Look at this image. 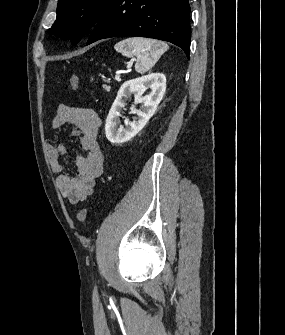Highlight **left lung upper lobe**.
Segmentation results:
<instances>
[{
	"label": "left lung upper lobe",
	"mask_w": 285,
	"mask_h": 335,
	"mask_svg": "<svg viewBox=\"0 0 285 335\" xmlns=\"http://www.w3.org/2000/svg\"><path fill=\"white\" fill-rule=\"evenodd\" d=\"M112 0H58L57 19L49 32L77 44L97 23Z\"/></svg>",
	"instance_id": "5c2ea615"
}]
</instances>
